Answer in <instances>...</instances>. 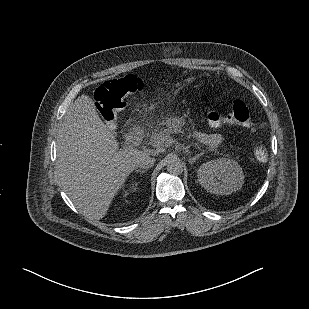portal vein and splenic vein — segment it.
<instances>
[{
  "label": "portal vein and splenic vein",
  "mask_w": 309,
  "mask_h": 309,
  "mask_svg": "<svg viewBox=\"0 0 309 309\" xmlns=\"http://www.w3.org/2000/svg\"><path fill=\"white\" fill-rule=\"evenodd\" d=\"M164 142H165L164 139H162V140H156V141L152 144V146H153V147H160L162 144H164Z\"/></svg>",
  "instance_id": "18ae733b"
}]
</instances>
